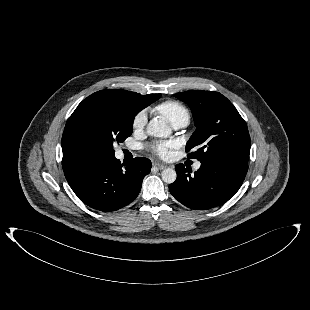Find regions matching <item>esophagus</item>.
Wrapping results in <instances>:
<instances>
[{
	"mask_svg": "<svg viewBox=\"0 0 310 310\" xmlns=\"http://www.w3.org/2000/svg\"><path fill=\"white\" fill-rule=\"evenodd\" d=\"M153 166L159 170L166 168V166L164 164H160V163H154Z\"/></svg>",
	"mask_w": 310,
	"mask_h": 310,
	"instance_id": "esophagus-1",
	"label": "esophagus"
}]
</instances>
